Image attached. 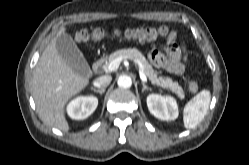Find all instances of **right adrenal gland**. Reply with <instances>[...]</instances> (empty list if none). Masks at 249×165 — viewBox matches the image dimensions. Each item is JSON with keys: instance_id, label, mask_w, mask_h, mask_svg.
Returning <instances> with one entry per match:
<instances>
[{"instance_id": "1", "label": "right adrenal gland", "mask_w": 249, "mask_h": 165, "mask_svg": "<svg viewBox=\"0 0 249 165\" xmlns=\"http://www.w3.org/2000/svg\"><path fill=\"white\" fill-rule=\"evenodd\" d=\"M91 90H93L94 92L99 93V94H103L105 92V88L96 89V88L92 87Z\"/></svg>"}]
</instances>
